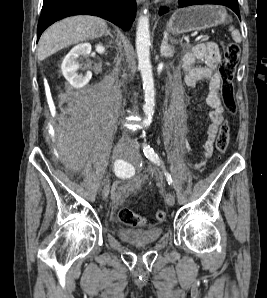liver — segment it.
<instances>
[{
  "instance_id": "6515ba94",
  "label": "liver",
  "mask_w": 267,
  "mask_h": 298,
  "mask_svg": "<svg viewBox=\"0 0 267 298\" xmlns=\"http://www.w3.org/2000/svg\"><path fill=\"white\" fill-rule=\"evenodd\" d=\"M106 31L107 23L98 17L79 15L63 19L46 29L40 37L38 59L43 61L65 47L99 38Z\"/></svg>"
}]
</instances>
